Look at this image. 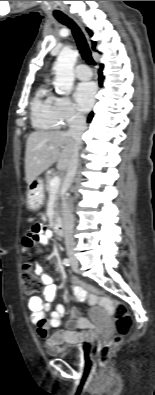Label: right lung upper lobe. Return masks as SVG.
<instances>
[{
    "instance_id": "1",
    "label": "right lung upper lobe",
    "mask_w": 155,
    "mask_h": 395,
    "mask_svg": "<svg viewBox=\"0 0 155 395\" xmlns=\"http://www.w3.org/2000/svg\"><path fill=\"white\" fill-rule=\"evenodd\" d=\"M87 31H88V33H89L91 36L93 35V33H92L89 29H87ZM92 44H93L92 48L95 49L96 42L93 41Z\"/></svg>"
}]
</instances>
